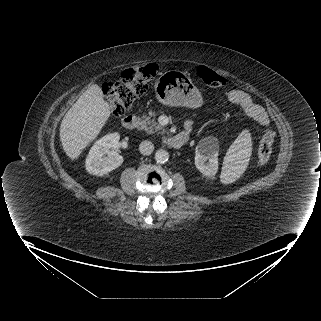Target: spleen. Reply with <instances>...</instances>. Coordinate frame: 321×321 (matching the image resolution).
Instances as JSON below:
<instances>
[{"mask_svg":"<svg viewBox=\"0 0 321 321\" xmlns=\"http://www.w3.org/2000/svg\"><path fill=\"white\" fill-rule=\"evenodd\" d=\"M252 153V140L249 130H243L229 147L223 162L221 181L232 183L247 167Z\"/></svg>","mask_w":321,"mask_h":321,"instance_id":"obj_1","label":"spleen"}]
</instances>
